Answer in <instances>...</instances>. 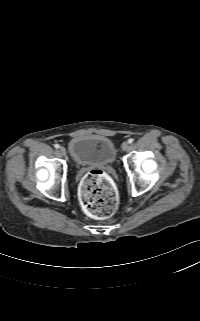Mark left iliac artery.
<instances>
[{"instance_id":"left-iliac-artery-1","label":"left iliac artery","mask_w":200,"mask_h":321,"mask_svg":"<svg viewBox=\"0 0 200 321\" xmlns=\"http://www.w3.org/2000/svg\"><path fill=\"white\" fill-rule=\"evenodd\" d=\"M133 141L134 140L132 138L128 139V143H130V144L133 143Z\"/></svg>"}]
</instances>
